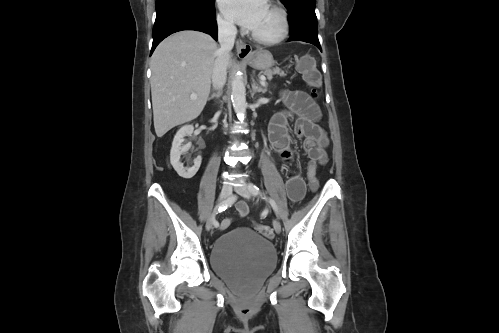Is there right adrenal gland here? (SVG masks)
Listing matches in <instances>:
<instances>
[{"mask_svg":"<svg viewBox=\"0 0 499 333\" xmlns=\"http://www.w3.org/2000/svg\"><path fill=\"white\" fill-rule=\"evenodd\" d=\"M221 89L218 90L217 92L215 93H212V95L208 98V101L211 100V99H214V98H219L221 96Z\"/></svg>","mask_w":499,"mask_h":333,"instance_id":"2a0ac1e0","label":"right adrenal gland"}]
</instances>
